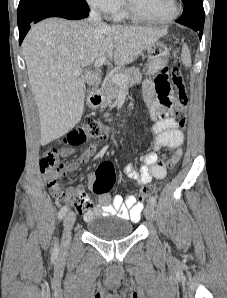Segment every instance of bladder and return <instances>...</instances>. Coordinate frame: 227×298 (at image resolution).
<instances>
[{
    "label": "bladder",
    "mask_w": 227,
    "mask_h": 298,
    "mask_svg": "<svg viewBox=\"0 0 227 298\" xmlns=\"http://www.w3.org/2000/svg\"><path fill=\"white\" fill-rule=\"evenodd\" d=\"M88 232L94 237L104 241H115L130 236L133 225L125 219L107 220L103 217H95L86 223Z\"/></svg>",
    "instance_id": "31cf9c89"
}]
</instances>
